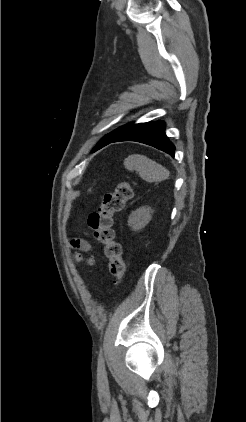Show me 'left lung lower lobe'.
<instances>
[{
    "mask_svg": "<svg viewBox=\"0 0 246 422\" xmlns=\"http://www.w3.org/2000/svg\"><path fill=\"white\" fill-rule=\"evenodd\" d=\"M119 141H136L144 143L174 157L175 147L167 138L165 134V124L162 121L133 124L117 138L100 145L97 150L112 142Z\"/></svg>",
    "mask_w": 246,
    "mask_h": 422,
    "instance_id": "obj_1",
    "label": "left lung lower lobe"
}]
</instances>
